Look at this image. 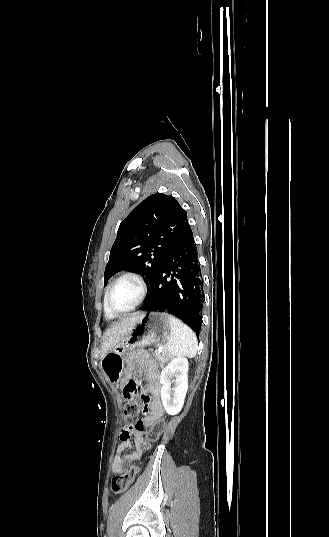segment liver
<instances>
[{
  "label": "liver",
  "instance_id": "6515ba94",
  "mask_svg": "<svg viewBox=\"0 0 329 537\" xmlns=\"http://www.w3.org/2000/svg\"><path fill=\"white\" fill-rule=\"evenodd\" d=\"M140 315L141 313H137L126 317L120 323H117L105 331L102 340L101 357L112 350L125 337L140 319Z\"/></svg>",
  "mask_w": 329,
  "mask_h": 537
}]
</instances>
